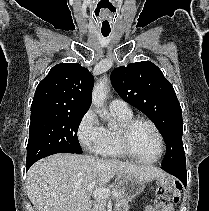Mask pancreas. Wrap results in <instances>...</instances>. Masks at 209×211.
I'll use <instances>...</instances> for the list:
<instances>
[{"label": "pancreas", "mask_w": 209, "mask_h": 211, "mask_svg": "<svg viewBox=\"0 0 209 211\" xmlns=\"http://www.w3.org/2000/svg\"><path fill=\"white\" fill-rule=\"evenodd\" d=\"M113 191L118 192V196L116 197V201L118 202L120 208L117 211H128L129 205L127 203L126 197L122 190L115 187ZM93 211H106V199H97L95 209Z\"/></svg>", "instance_id": "cf45deb5"}]
</instances>
